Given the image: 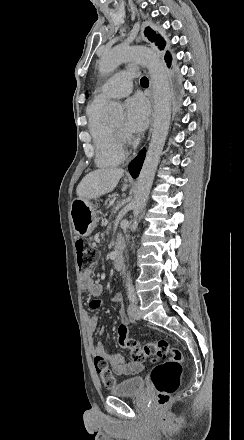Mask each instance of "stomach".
I'll use <instances>...</instances> for the list:
<instances>
[{
	"label": "stomach",
	"mask_w": 244,
	"mask_h": 440,
	"mask_svg": "<svg viewBox=\"0 0 244 440\" xmlns=\"http://www.w3.org/2000/svg\"><path fill=\"white\" fill-rule=\"evenodd\" d=\"M97 206H94L89 200H82V198H75L73 200L69 216L72 222V228L75 236H90L94 228H96Z\"/></svg>",
	"instance_id": "obj_1"
}]
</instances>
